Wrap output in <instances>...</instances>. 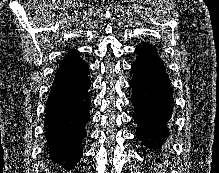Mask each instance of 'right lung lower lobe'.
I'll return each mask as SVG.
<instances>
[{
	"label": "right lung lower lobe",
	"mask_w": 219,
	"mask_h": 173,
	"mask_svg": "<svg viewBox=\"0 0 219 173\" xmlns=\"http://www.w3.org/2000/svg\"><path fill=\"white\" fill-rule=\"evenodd\" d=\"M88 65L79 54L61 62L47 100L44 118L50 159L65 169L80 160L85 125L90 119Z\"/></svg>",
	"instance_id": "1"
}]
</instances>
